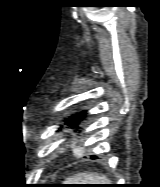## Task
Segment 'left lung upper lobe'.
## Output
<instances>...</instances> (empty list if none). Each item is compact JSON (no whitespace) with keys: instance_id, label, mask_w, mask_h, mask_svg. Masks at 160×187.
Masks as SVG:
<instances>
[{"instance_id":"obj_1","label":"left lung upper lobe","mask_w":160,"mask_h":187,"mask_svg":"<svg viewBox=\"0 0 160 187\" xmlns=\"http://www.w3.org/2000/svg\"><path fill=\"white\" fill-rule=\"evenodd\" d=\"M85 115H86L85 112L72 115L69 119H66L65 124H70L72 127L77 126L79 124V121H81L82 118H84ZM62 126L63 125H61V127Z\"/></svg>"}]
</instances>
